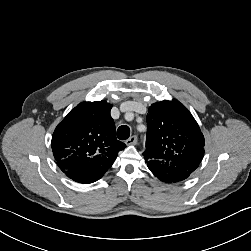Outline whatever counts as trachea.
Here are the masks:
<instances>
[{
    "label": "trachea",
    "instance_id": "obj_1",
    "mask_svg": "<svg viewBox=\"0 0 251 251\" xmlns=\"http://www.w3.org/2000/svg\"><path fill=\"white\" fill-rule=\"evenodd\" d=\"M130 136V128L126 125H122L117 130V137L120 140H126Z\"/></svg>",
    "mask_w": 251,
    "mask_h": 251
}]
</instances>
